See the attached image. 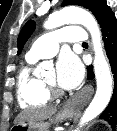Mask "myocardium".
<instances>
[{
    "instance_id": "1",
    "label": "myocardium",
    "mask_w": 117,
    "mask_h": 131,
    "mask_svg": "<svg viewBox=\"0 0 117 131\" xmlns=\"http://www.w3.org/2000/svg\"><path fill=\"white\" fill-rule=\"evenodd\" d=\"M43 82L51 95L56 97L63 95V91L56 86L55 82H50L47 80H43Z\"/></svg>"
}]
</instances>
